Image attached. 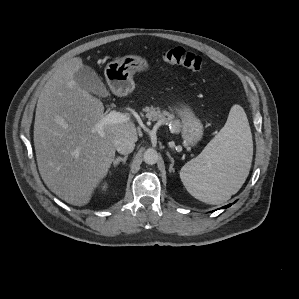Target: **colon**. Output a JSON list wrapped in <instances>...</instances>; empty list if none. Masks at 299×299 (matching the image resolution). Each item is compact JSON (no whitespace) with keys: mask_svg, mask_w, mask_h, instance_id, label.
<instances>
[{"mask_svg":"<svg viewBox=\"0 0 299 299\" xmlns=\"http://www.w3.org/2000/svg\"><path fill=\"white\" fill-rule=\"evenodd\" d=\"M164 62L173 65H180L192 71H199L203 66L201 56L187 52L181 47H172L162 53Z\"/></svg>","mask_w":299,"mask_h":299,"instance_id":"colon-1","label":"colon"}]
</instances>
